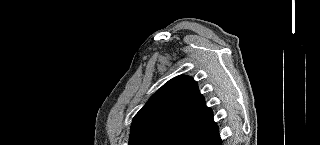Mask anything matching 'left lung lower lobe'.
<instances>
[{
	"label": "left lung lower lobe",
	"instance_id": "left-lung-lower-lobe-1",
	"mask_svg": "<svg viewBox=\"0 0 320 145\" xmlns=\"http://www.w3.org/2000/svg\"><path fill=\"white\" fill-rule=\"evenodd\" d=\"M178 145H222L213 115L206 123L198 126L183 137Z\"/></svg>",
	"mask_w": 320,
	"mask_h": 145
}]
</instances>
